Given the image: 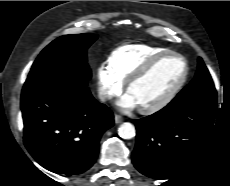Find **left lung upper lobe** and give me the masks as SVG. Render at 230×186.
<instances>
[{"mask_svg": "<svg viewBox=\"0 0 230 186\" xmlns=\"http://www.w3.org/2000/svg\"><path fill=\"white\" fill-rule=\"evenodd\" d=\"M198 62V70L195 78L173 99V101H178L205 93H216L212 78L208 69L203 63V60L199 58Z\"/></svg>", "mask_w": 230, "mask_h": 186, "instance_id": "left-lung-upper-lobe-1", "label": "left lung upper lobe"}]
</instances>
